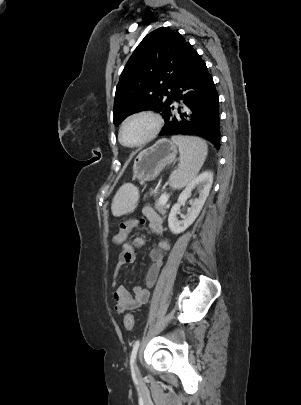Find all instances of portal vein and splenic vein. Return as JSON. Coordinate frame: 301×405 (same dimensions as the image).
Returning <instances> with one entry per match:
<instances>
[{"mask_svg": "<svg viewBox=\"0 0 301 405\" xmlns=\"http://www.w3.org/2000/svg\"><path fill=\"white\" fill-rule=\"evenodd\" d=\"M161 202H167L168 198L166 194H162L159 199Z\"/></svg>", "mask_w": 301, "mask_h": 405, "instance_id": "18ae733b", "label": "portal vein and splenic vein"}]
</instances>
